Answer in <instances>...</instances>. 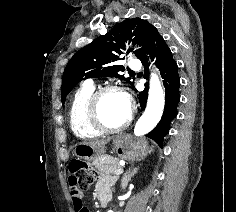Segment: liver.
I'll return each instance as SVG.
<instances>
[{
    "label": "liver",
    "mask_w": 236,
    "mask_h": 212,
    "mask_svg": "<svg viewBox=\"0 0 236 212\" xmlns=\"http://www.w3.org/2000/svg\"><path fill=\"white\" fill-rule=\"evenodd\" d=\"M109 141L110 139H102V140L84 142V144L90 145L94 148H100V147H104Z\"/></svg>",
    "instance_id": "obj_1"
}]
</instances>
